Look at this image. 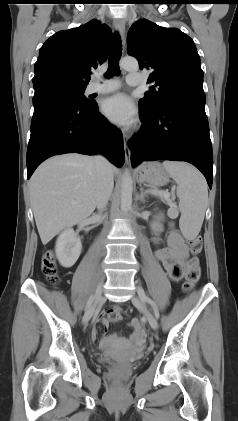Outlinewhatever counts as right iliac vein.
<instances>
[{"mask_svg": "<svg viewBox=\"0 0 238 421\" xmlns=\"http://www.w3.org/2000/svg\"><path fill=\"white\" fill-rule=\"evenodd\" d=\"M102 289H103V282L101 281L99 283V285L97 286V289L95 291L93 303L90 305V307L87 309V311L85 312V314L83 316V323L84 324H87L90 321V319L92 318V316L95 312L97 303H98V301L101 297Z\"/></svg>", "mask_w": 238, "mask_h": 421, "instance_id": "1", "label": "right iliac vein"}]
</instances>
